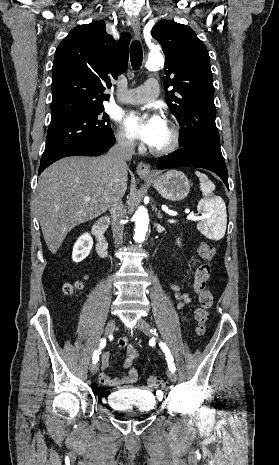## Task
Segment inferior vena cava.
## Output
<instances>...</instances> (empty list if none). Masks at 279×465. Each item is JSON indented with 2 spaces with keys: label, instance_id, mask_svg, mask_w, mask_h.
Returning a JSON list of instances; mask_svg holds the SVG:
<instances>
[{
  "label": "inferior vena cava",
  "instance_id": "602c4592",
  "mask_svg": "<svg viewBox=\"0 0 279 465\" xmlns=\"http://www.w3.org/2000/svg\"><path fill=\"white\" fill-rule=\"evenodd\" d=\"M134 151V142L124 136H119L117 138V144L105 155V160L113 174L114 180V190L110 198V212L112 215L113 239L116 246L122 244L124 231V226L121 223L124 214V206L122 203L124 193L119 190L120 175L123 171L127 170L126 161L131 160Z\"/></svg>",
  "mask_w": 279,
  "mask_h": 465
}]
</instances>
